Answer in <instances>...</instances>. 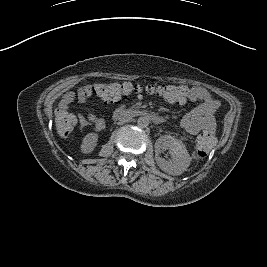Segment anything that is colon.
<instances>
[{
  "mask_svg": "<svg viewBox=\"0 0 267 267\" xmlns=\"http://www.w3.org/2000/svg\"><path fill=\"white\" fill-rule=\"evenodd\" d=\"M146 91L155 94L168 102H180L185 97V92L181 87L175 85H135L132 83H97L88 86L84 95L86 99L95 97L102 102H120L129 98L134 93ZM75 126L74 116L66 110H60L55 116V127L58 135L62 138L69 136ZM216 140L211 132H201L196 140L197 154L207 155L215 146Z\"/></svg>",
  "mask_w": 267,
  "mask_h": 267,
  "instance_id": "colon-1",
  "label": "colon"
}]
</instances>
